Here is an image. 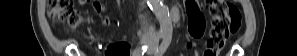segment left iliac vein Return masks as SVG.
<instances>
[{
  "instance_id": "obj_1",
  "label": "left iliac vein",
  "mask_w": 297,
  "mask_h": 56,
  "mask_svg": "<svg viewBox=\"0 0 297 56\" xmlns=\"http://www.w3.org/2000/svg\"><path fill=\"white\" fill-rule=\"evenodd\" d=\"M156 47H157L156 43H152L150 45V49L148 50V54H153L154 51H155V49H156Z\"/></svg>"
}]
</instances>
